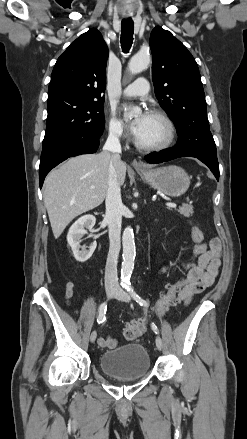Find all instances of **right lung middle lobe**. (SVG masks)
<instances>
[{
    "mask_svg": "<svg viewBox=\"0 0 247 439\" xmlns=\"http://www.w3.org/2000/svg\"><path fill=\"white\" fill-rule=\"evenodd\" d=\"M104 101L66 100L48 106L43 148L77 138L100 137Z\"/></svg>",
    "mask_w": 247,
    "mask_h": 439,
    "instance_id": "right-lung-middle-lobe-1",
    "label": "right lung middle lobe"
}]
</instances>
